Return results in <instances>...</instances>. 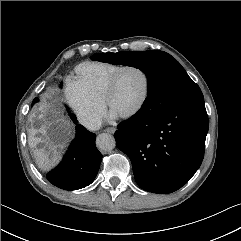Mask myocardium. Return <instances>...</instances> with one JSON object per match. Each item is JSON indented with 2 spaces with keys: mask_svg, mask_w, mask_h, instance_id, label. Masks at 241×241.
I'll return each instance as SVG.
<instances>
[{
  "mask_svg": "<svg viewBox=\"0 0 241 241\" xmlns=\"http://www.w3.org/2000/svg\"><path fill=\"white\" fill-rule=\"evenodd\" d=\"M128 69H136L139 70L143 76H144V80H145V86H144V92L143 95L139 101V103L129 112L120 115L121 118L123 119H129L132 118L134 116H136L137 114H139L141 112V110L144 108L148 97H149V93H150V77L148 72L141 66L139 65H135V64H127V65H123L110 79L107 87H106V91L104 94V105L107 108H110V99L115 91L116 88V84L118 82V79L120 77V75L128 70Z\"/></svg>",
  "mask_w": 241,
  "mask_h": 241,
  "instance_id": "myocardium-1",
  "label": "myocardium"
}]
</instances>
